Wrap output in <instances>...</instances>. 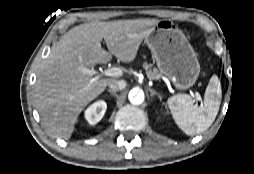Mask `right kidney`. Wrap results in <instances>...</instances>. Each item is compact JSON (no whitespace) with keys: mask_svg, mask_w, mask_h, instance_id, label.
I'll list each match as a JSON object with an SVG mask.
<instances>
[{"mask_svg":"<svg viewBox=\"0 0 254 174\" xmlns=\"http://www.w3.org/2000/svg\"><path fill=\"white\" fill-rule=\"evenodd\" d=\"M106 109L105 101H97L86 109L85 118L90 125H95L103 118Z\"/></svg>","mask_w":254,"mask_h":174,"instance_id":"right-kidney-1","label":"right kidney"}]
</instances>
